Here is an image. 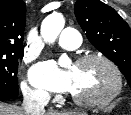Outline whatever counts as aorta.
Returning <instances> with one entry per match:
<instances>
[{
	"instance_id": "1",
	"label": "aorta",
	"mask_w": 131,
	"mask_h": 115,
	"mask_svg": "<svg viewBox=\"0 0 131 115\" xmlns=\"http://www.w3.org/2000/svg\"><path fill=\"white\" fill-rule=\"evenodd\" d=\"M65 20L60 13H52L41 24V36L47 43H53L64 28Z\"/></svg>"
}]
</instances>
